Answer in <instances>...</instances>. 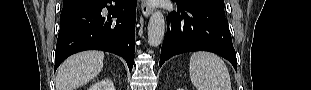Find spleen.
Wrapping results in <instances>:
<instances>
[{"mask_svg": "<svg viewBox=\"0 0 311 90\" xmlns=\"http://www.w3.org/2000/svg\"><path fill=\"white\" fill-rule=\"evenodd\" d=\"M189 73L191 82L197 90H232L226 64L213 53H193Z\"/></svg>", "mask_w": 311, "mask_h": 90, "instance_id": "spleen-1", "label": "spleen"}]
</instances>
